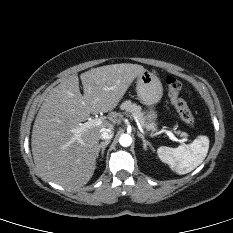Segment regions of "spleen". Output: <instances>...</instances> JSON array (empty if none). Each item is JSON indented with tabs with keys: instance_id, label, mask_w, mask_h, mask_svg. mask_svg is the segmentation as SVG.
<instances>
[{
	"instance_id": "1",
	"label": "spleen",
	"mask_w": 233,
	"mask_h": 233,
	"mask_svg": "<svg viewBox=\"0 0 233 233\" xmlns=\"http://www.w3.org/2000/svg\"><path fill=\"white\" fill-rule=\"evenodd\" d=\"M209 150V138L198 136L191 144L177 148L161 146L157 149L160 160L167 163L179 175L191 172L199 166Z\"/></svg>"
}]
</instances>
